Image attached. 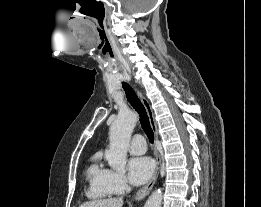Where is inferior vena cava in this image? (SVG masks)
Returning <instances> with one entry per match:
<instances>
[{
  "label": "inferior vena cava",
  "instance_id": "inferior-vena-cava-1",
  "mask_svg": "<svg viewBox=\"0 0 261 207\" xmlns=\"http://www.w3.org/2000/svg\"><path fill=\"white\" fill-rule=\"evenodd\" d=\"M131 190V188L127 185L126 186V191L129 192Z\"/></svg>",
  "mask_w": 261,
  "mask_h": 207
}]
</instances>
